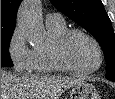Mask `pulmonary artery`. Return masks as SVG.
<instances>
[{"label": "pulmonary artery", "instance_id": "e3ab8cb5", "mask_svg": "<svg viewBox=\"0 0 115 99\" xmlns=\"http://www.w3.org/2000/svg\"><path fill=\"white\" fill-rule=\"evenodd\" d=\"M46 23H61L64 22V19L59 13H49L46 16Z\"/></svg>", "mask_w": 115, "mask_h": 99}]
</instances>
